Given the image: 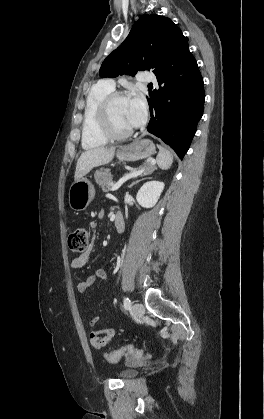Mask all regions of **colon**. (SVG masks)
I'll return each instance as SVG.
<instances>
[{
    "label": "colon",
    "mask_w": 264,
    "mask_h": 419,
    "mask_svg": "<svg viewBox=\"0 0 264 419\" xmlns=\"http://www.w3.org/2000/svg\"><path fill=\"white\" fill-rule=\"evenodd\" d=\"M89 244V232L87 227L78 226L73 229L68 236V246L71 251L77 253L86 252ZM149 354L141 349L135 348L131 345L124 346L113 352L105 355L110 362H118L123 357L132 358L135 360H145L149 358Z\"/></svg>",
    "instance_id": "5ec220e1"
}]
</instances>
